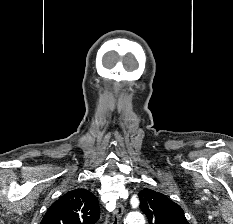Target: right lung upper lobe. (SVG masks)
Returning a JSON list of instances; mask_svg holds the SVG:
<instances>
[{
    "mask_svg": "<svg viewBox=\"0 0 233 224\" xmlns=\"http://www.w3.org/2000/svg\"><path fill=\"white\" fill-rule=\"evenodd\" d=\"M99 217L97 198L86 189H75L50 206L41 224H95Z\"/></svg>",
    "mask_w": 233,
    "mask_h": 224,
    "instance_id": "1",
    "label": "right lung upper lobe"
}]
</instances>
